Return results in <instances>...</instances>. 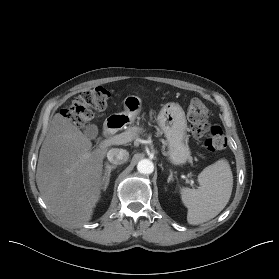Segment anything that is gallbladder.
<instances>
[{"instance_id":"1","label":"gallbladder","mask_w":279,"mask_h":279,"mask_svg":"<svg viewBox=\"0 0 279 279\" xmlns=\"http://www.w3.org/2000/svg\"><path fill=\"white\" fill-rule=\"evenodd\" d=\"M84 134L89 138H95L98 134L97 126L94 124L86 126Z\"/></svg>"}]
</instances>
